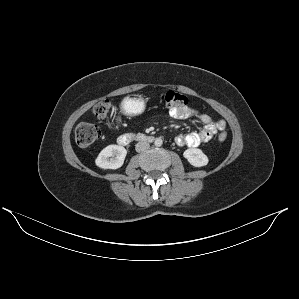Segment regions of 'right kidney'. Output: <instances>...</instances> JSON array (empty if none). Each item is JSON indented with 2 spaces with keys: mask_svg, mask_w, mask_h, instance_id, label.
<instances>
[{
  "mask_svg": "<svg viewBox=\"0 0 299 299\" xmlns=\"http://www.w3.org/2000/svg\"><path fill=\"white\" fill-rule=\"evenodd\" d=\"M126 154L127 150L123 146L108 145L101 150L95 164L101 169H117L123 165Z\"/></svg>",
  "mask_w": 299,
  "mask_h": 299,
  "instance_id": "obj_1",
  "label": "right kidney"
}]
</instances>
